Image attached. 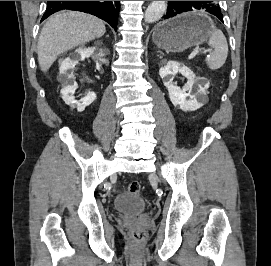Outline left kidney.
I'll return each instance as SVG.
<instances>
[{"mask_svg": "<svg viewBox=\"0 0 271 266\" xmlns=\"http://www.w3.org/2000/svg\"><path fill=\"white\" fill-rule=\"evenodd\" d=\"M178 72L188 79L183 88L175 86L173 83L172 76ZM159 75L163 79L164 86L168 88L170 100L175 107L186 112L195 111L203 106V104L198 101V97L205 95L208 84L205 81L198 84L197 92L192 95L190 92L196 82V76L188 67L180 65L175 61H169L165 66L160 68ZM187 97H189V99H187Z\"/></svg>", "mask_w": 271, "mask_h": 266, "instance_id": "5707ae66", "label": "left kidney"}]
</instances>
